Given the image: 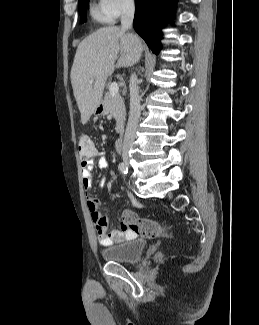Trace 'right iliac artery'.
Listing matches in <instances>:
<instances>
[{"label": "right iliac artery", "instance_id": "obj_1", "mask_svg": "<svg viewBox=\"0 0 259 325\" xmlns=\"http://www.w3.org/2000/svg\"><path fill=\"white\" fill-rule=\"evenodd\" d=\"M122 165H127V164L124 163V162H121V163L119 164V166H118V168H119L120 171L122 170Z\"/></svg>", "mask_w": 259, "mask_h": 325}]
</instances>
